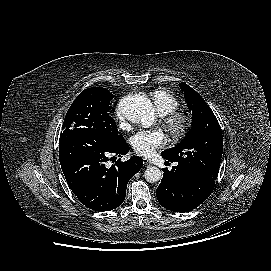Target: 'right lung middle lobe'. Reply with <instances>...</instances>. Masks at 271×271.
<instances>
[{"mask_svg": "<svg viewBox=\"0 0 271 271\" xmlns=\"http://www.w3.org/2000/svg\"><path fill=\"white\" fill-rule=\"evenodd\" d=\"M114 98L106 88L92 87L81 92L70 106L60 134L59 143L67 141L114 146L123 137L109 112Z\"/></svg>", "mask_w": 271, "mask_h": 271, "instance_id": "obj_1", "label": "right lung middle lobe"}]
</instances>
